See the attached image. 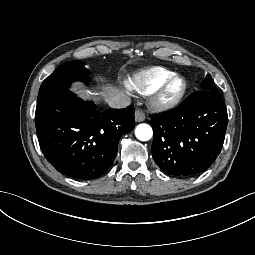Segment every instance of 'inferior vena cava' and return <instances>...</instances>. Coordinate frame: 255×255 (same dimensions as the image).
Segmentation results:
<instances>
[{
  "mask_svg": "<svg viewBox=\"0 0 255 255\" xmlns=\"http://www.w3.org/2000/svg\"><path fill=\"white\" fill-rule=\"evenodd\" d=\"M106 101L110 108L122 109L126 108L131 104L129 96L122 92H114L106 97Z\"/></svg>",
  "mask_w": 255,
  "mask_h": 255,
  "instance_id": "obj_1",
  "label": "inferior vena cava"
}]
</instances>
